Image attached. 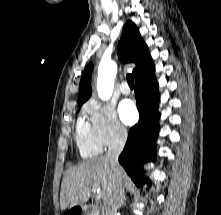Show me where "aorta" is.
<instances>
[{"mask_svg": "<svg viewBox=\"0 0 221 215\" xmlns=\"http://www.w3.org/2000/svg\"><path fill=\"white\" fill-rule=\"evenodd\" d=\"M117 64L113 60H102L98 67L97 91L102 100H108L114 89Z\"/></svg>", "mask_w": 221, "mask_h": 215, "instance_id": "obj_1", "label": "aorta"}]
</instances>
